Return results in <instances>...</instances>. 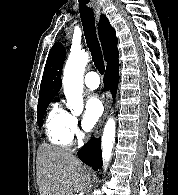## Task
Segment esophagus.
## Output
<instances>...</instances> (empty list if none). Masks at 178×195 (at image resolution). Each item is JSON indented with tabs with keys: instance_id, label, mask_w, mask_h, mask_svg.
Masks as SVG:
<instances>
[{
	"instance_id": "obj_1",
	"label": "esophagus",
	"mask_w": 178,
	"mask_h": 195,
	"mask_svg": "<svg viewBox=\"0 0 178 195\" xmlns=\"http://www.w3.org/2000/svg\"><path fill=\"white\" fill-rule=\"evenodd\" d=\"M95 14H96V18H97V21H99V17H100V14H101V8L98 4H95ZM103 100H104V112H103V115L102 117L100 118L99 122H98V125H97V128H96V131H95V136L98 137L101 133V130H102V126L107 118V115H108V112H109V109L111 107V103H112V99H111V96L109 94H104L103 95Z\"/></svg>"
}]
</instances>
